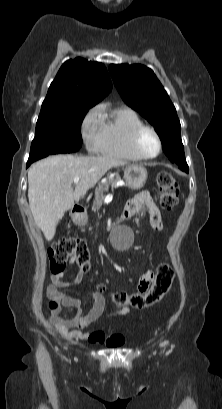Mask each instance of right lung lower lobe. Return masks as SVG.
<instances>
[{
  "label": "right lung lower lobe",
  "mask_w": 222,
  "mask_h": 409,
  "mask_svg": "<svg viewBox=\"0 0 222 409\" xmlns=\"http://www.w3.org/2000/svg\"><path fill=\"white\" fill-rule=\"evenodd\" d=\"M31 163H27V167L30 166Z\"/></svg>",
  "instance_id": "obj_1"
}]
</instances>
